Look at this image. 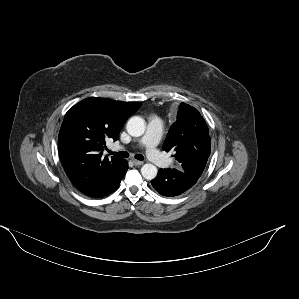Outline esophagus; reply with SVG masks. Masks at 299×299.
Segmentation results:
<instances>
[{
	"instance_id": "34e87169",
	"label": "esophagus",
	"mask_w": 299,
	"mask_h": 299,
	"mask_svg": "<svg viewBox=\"0 0 299 299\" xmlns=\"http://www.w3.org/2000/svg\"><path fill=\"white\" fill-rule=\"evenodd\" d=\"M132 162H133V164L135 165V166H140V165H143V161H139V160H132Z\"/></svg>"
}]
</instances>
